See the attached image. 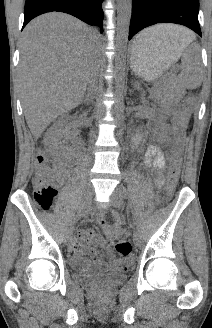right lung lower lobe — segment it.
<instances>
[{
  "label": "right lung lower lobe",
  "instance_id": "obj_1",
  "mask_svg": "<svg viewBox=\"0 0 212 328\" xmlns=\"http://www.w3.org/2000/svg\"><path fill=\"white\" fill-rule=\"evenodd\" d=\"M102 2L103 0H26L22 29L36 16L52 11L68 13L89 25L100 26L103 20Z\"/></svg>",
  "mask_w": 212,
  "mask_h": 328
}]
</instances>
